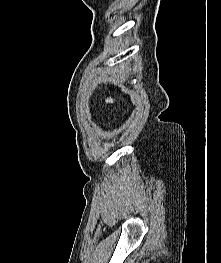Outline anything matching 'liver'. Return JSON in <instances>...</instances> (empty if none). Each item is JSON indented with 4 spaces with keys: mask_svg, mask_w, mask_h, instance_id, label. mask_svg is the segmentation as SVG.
<instances>
[{
    "mask_svg": "<svg viewBox=\"0 0 221 263\" xmlns=\"http://www.w3.org/2000/svg\"><path fill=\"white\" fill-rule=\"evenodd\" d=\"M107 103H113L114 102V99L109 97L105 100Z\"/></svg>",
    "mask_w": 221,
    "mask_h": 263,
    "instance_id": "1",
    "label": "liver"
}]
</instances>
